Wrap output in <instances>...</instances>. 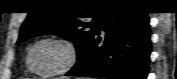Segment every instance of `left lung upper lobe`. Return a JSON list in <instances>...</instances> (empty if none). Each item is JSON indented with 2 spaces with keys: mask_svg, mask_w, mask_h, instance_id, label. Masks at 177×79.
<instances>
[{
  "mask_svg": "<svg viewBox=\"0 0 177 79\" xmlns=\"http://www.w3.org/2000/svg\"><path fill=\"white\" fill-rule=\"evenodd\" d=\"M64 2L84 5L75 9H67ZM118 0H81V1H40L34 12H30L24 21L17 44L43 34H55L74 42L79 59L93 38L102 11L108 6L118 3ZM55 9H61L55 11ZM90 14L89 16H87ZM86 17H92L91 22H85ZM91 28V30H88Z\"/></svg>",
  "mask_w": 177,
  "mask_h": 79,
  "instance_id": "obj_1",
  "label": "left lung upper lobe"
}]
</instances>
